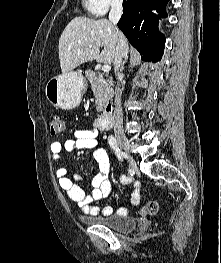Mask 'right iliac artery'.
I'll list each match as a JSON object with an SVG mask.
<instances>
[{
    "label": "right iliac artery",
    "mask_w": 221,
    "mask_h": 263,
    "mask_svg": "<svg viewBox=\"0 0 221 263\" xmlns=\"http://www.w3.org/2000/svg\"><path fill=\"white\" fill-rule=\"evenodd\" d=\"M108 142H109L112 150L115 152L117 158L120 161H123V153L120 150V148L118 147L115 137L110 135L109 138H108Z\"/></svg>",
    "instance_id": "right-iliac-artery-1"
}]
</instances>
